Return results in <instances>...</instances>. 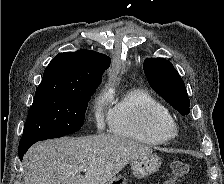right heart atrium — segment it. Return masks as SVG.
Segmentation results:
<instances>
[{
	"mask_svg": "<svg viewBox=\"0 0 224 184\" xmlns=\"http://www.w3.org/2000/svg\"><path fill=\"white\" fill-rule=\"evenodd\" d=\"M112 98L109 96L100 95L93 105V117L94 121L99 129H103L107 123L110 122V108L109 103Z\"/></svg>",
	"mask_w": 224,
	"mask_h": 184,
	"instance_id": "right-heart-atrium-1",
	"label": "right heart atrium"
}]
</instances>
